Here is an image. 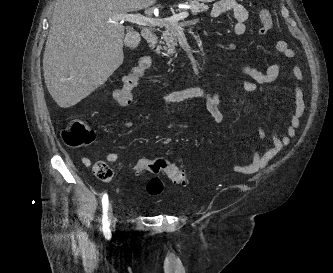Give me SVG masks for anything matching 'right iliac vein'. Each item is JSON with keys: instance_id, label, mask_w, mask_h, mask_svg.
<instances>
[{"instance_id": "right-iliac-vein-1", "label": "right iliac vein", "mask_w": 333, "mask_h": 273, "mask_svg": "<svg viewBox=\"0 0 333 273\" xmlns=\"http://www.w3.org/2000/svg\"><path fill=\"white\" fill-rule=\"evenodd\" d=\"M109 222H110V225H111L112 229L114 230L115 227H116V220H115V216H114V213H113L112 206H110Z\"/></svg>"}]
</instances>
